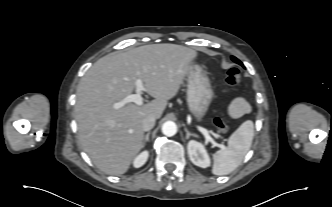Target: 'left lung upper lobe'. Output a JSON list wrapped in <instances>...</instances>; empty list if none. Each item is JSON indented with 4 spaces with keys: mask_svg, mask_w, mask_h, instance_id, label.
Returning <instances> with one entry per match:
<instances>
[{
    "mask_svg": "<svg viewBox=\"0 0 332 207\" xmlns=\"http://www.w3.org/2000/svg\"><path fill=\"white\" fill-rule=\"evenodd\" d=\"M232 60H233L234 62H236L237 64L243 66V64H242V63H241L236 57L232 56Z\"/></svg>",
    "mask_w": 332,
    "mask_h": 207,
    "instance_id": "1",
    "label": "left lung upper lobe"
}]
</instances>
